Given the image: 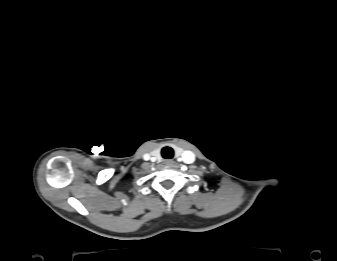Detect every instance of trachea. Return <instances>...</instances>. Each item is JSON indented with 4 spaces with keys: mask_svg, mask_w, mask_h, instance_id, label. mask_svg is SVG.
I'll list each match as a JSON object with an SVG mask.
<instances>
[{
    "mask_svg": "<svg viewBox=\"0 0 337 261\" xmlns=\"http://www.w3.org/2000/svg\"><path fill=\"white\" fill-rule=\"evenodd\" d=\"M161 155L165 159H171L174 156V151L171 147H164L161 151Z\"/></svg>",
    "mask_w": 337,
    "mask_h": 261,
    "instance_id": "1",
    "label": "trachea"
}]
</instances>
